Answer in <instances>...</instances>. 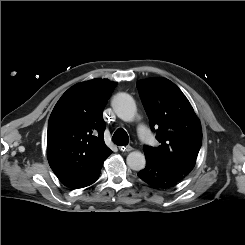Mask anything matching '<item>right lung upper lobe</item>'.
Instances as JSON below:
<instances>
[{
  "instance_id": "1",
  "label": "right lung upper lobe",
  "mask_w": 245,
  "mask_h": 245,
  "mask_svg": "<svg viewBox=\"0 0 245 245\" xmlns=\"http://www.w3.org/2000/svg\"><path fill=\"white\" fill-rule=\"evenodd\" d=\"M117 83L93 79L72 86L55 105L48 123V162L69 188L88 181L112 153L104 142L103 109Z\"/></svg>"
}]
</instances>
